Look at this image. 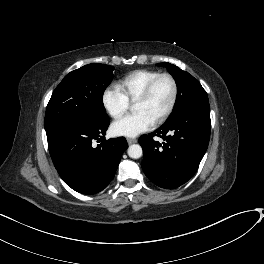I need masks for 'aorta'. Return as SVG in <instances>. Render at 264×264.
Masks as SVG:
<instances>
[{
  "instance_id": "obj_1",
  "label": "aorta",
  "mask_w": 264,
  "mask_h": 264,
  "mask_svg": "<svg viewBox=\"0 0 264 264\" xmlns=\"http://www.w3.org/2000/svg\"><path fill=\"white\" fill-rule=\"evenodd\" d=\"M128 155L130 158L138 159L142 156V148L138 144H133L128 148Z\"/></svg>"
}]
</instances>
